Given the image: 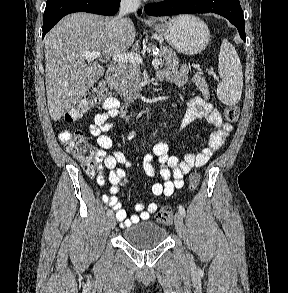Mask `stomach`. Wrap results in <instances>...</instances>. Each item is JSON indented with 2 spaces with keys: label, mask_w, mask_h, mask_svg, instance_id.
Wrapping results in <instances>:
<instances>
[{
  "label": "stomach",
  "mask_w": 288,
  "mask_h": 293,
  "mask_svg": "<svg viewBox=\"0 0 288 293\" xmlns=\"http://www.w3.org/2000/svg\"><path fill=\"white\" fill-rule=\"evenodd\" d=\"M154 28L171 47L185 55L202 52L211 38L208 26L193 15H179Z\"/></svg>",
  "instance_id": "0dacf381"
}]
</instances>
